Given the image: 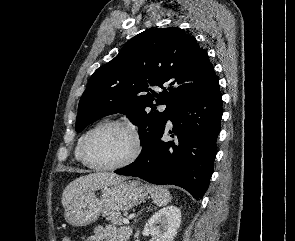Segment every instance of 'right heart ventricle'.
I'll return each instance as SVG.
<instances>
[{"instance_id": "1", "label": "right heart ventricle", "mask_w": 295, "mask_h": 241, "mask_svg": "<svg viewBox=\"0 0 295 241\" xmlns=\"http://www.w3.org/2000/svg\"><path fill=\"white\" fill-rule=\"evenodd\" d=\"M106 120H102L100 122H98L96 125L88 128L85 132H83L80 137L78 138L77 140V143H76V146H75V150H74V156H75V159L78 163H81L83 164L82 162V158H81V149H82V145H83V142L84 140L86 139L87 135L90 133V131L95 128L97 125L105 122Z\"/></svg>"}]
</instances>
